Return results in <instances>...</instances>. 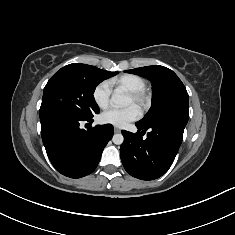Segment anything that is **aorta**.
<instances>
[{
  "mask_svg": "<svg viewBox=\"0 0 235 235\" xmlns=\"http://www.w3.org/2000/svg\"><path fill=\"white\" fill-rule=\"evenodd\" d=\"M110 103L115 107H124L130 104V99L122 90L116 89L111 96ZM112 141L116 145H121L124 137L121 133L114 134Z\"/></svg>",
  "mask_w": 235,
  "mask_h": 235,
  "instance_id": "aorta-1",
  "label": "aorta"
}]
</instances>
